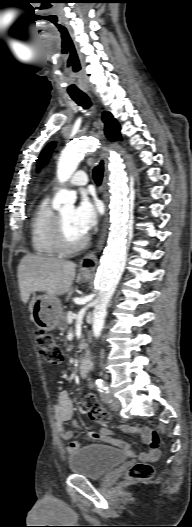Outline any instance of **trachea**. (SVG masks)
<instances>
[{"instance_id":"3493384b","label":"trachea","mask_w":192,"mask_h":527,"mask_svg":"<svg viewBox=\"0 0 192 527\" xmlns=\"http://www.w3.org/2000/svg\"><path fill=\"white\" fill-rule=\"evenodd\" d=\"M71 98L84 109H88L91 106L89 97L85 93L71 95ZM93 177L95 182L99 185L103 177V162L101 161L93 170Z\"/></svg>"}]
</instances>
